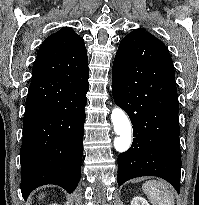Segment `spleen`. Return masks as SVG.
<instances>
[{
	"label": "spleen",
	"mask_w": 199,
	"mask_h": 205,
	"mask_svg": "<svg viewBox=\"0 0 199 205\" xmlns=\"http://www.w3.org/2000/svg\"><path fill=\"white\" fill-rule=\"evenodd\" d=\"M142 189L153 205H175L174 192L163 181L148 180Z\"/></svg>",
	"instance_id": "1"
}]
</instances>
